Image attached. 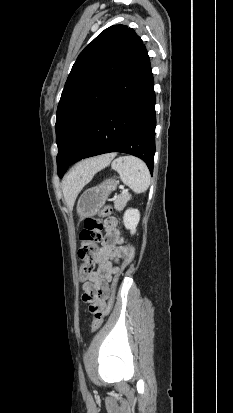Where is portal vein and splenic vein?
Returning <instances> with one entry per match:
<instances>
[{
    "label": "portal vein and splenic vein",
    "instance_id": "portal-vein-and-splenic-vein-1",
    "mask_svg": "<svg viewBox=\"0 0 233 413\" xmlns=\"http://www.w3.org/2000/svg\"><path fill=\"white\" fill-rule=\"evenodd\" d=\"M127 192V189H122V195L125 194Z\"/></svg>",
    "mask_w": 233,
    "mask_h": 413
}]
</instances>
